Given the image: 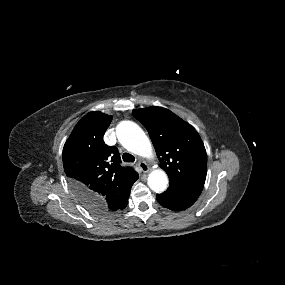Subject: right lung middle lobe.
Instances as JSON below:
<instances>
[{"label":"right lung middle lobe","instance_id":"dd1d6c3e","mask_svg":"<svg viewBox=\"0 0 285 285\" xmlns=\"http://www.w3.org/2000/svg\"><path fill=\"white\" fill-rule=\"evenodd\" d=\"M84 206H85L88 210H90L92 213H94V214H96V215H98V216H107V214H106L103 210L97 208V207L94 206V205H84Z\"/></svg>","mask_w":285,"mask_h":285}]
</instances>
